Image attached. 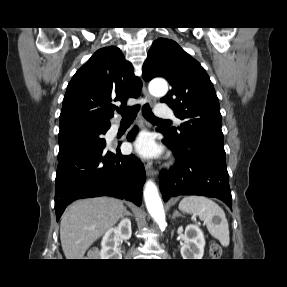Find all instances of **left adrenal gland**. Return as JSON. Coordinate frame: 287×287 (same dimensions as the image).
Listing matches in <instances>:
<instances>
[{
	"mask_svg": "<svg viewBox=\"0 0 287 287\" xmlns=\"http://www.w3.org/2000/svg\"><path fill=\"white\" fill-rule=\"evenodd\" d=\"M178 216H181V214L177 210H175L173 215H172V218H176Z\"/></svg>",
	"mask_w": 287,
	"mask_h": 287,
	"instance_id": "1",
	"label": "left adrenal gland"
}]
</instances>
